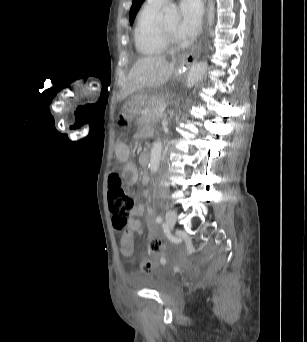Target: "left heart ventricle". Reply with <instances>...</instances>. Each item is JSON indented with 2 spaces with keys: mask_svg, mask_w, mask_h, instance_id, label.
<instances>
[{
  "mask_svg": "<svg viewBox=\"0 0 307 342\" xmlns=\"http://www.w3.org/2000/svg\"><path fill=\"white\" fill-rule=\"evenodd\" d=\"M161 27L163 30V34L165 38L167 39V41L169 42V44L175 48L180 47L181 44L178 42V40L175 37L176 24L165 23V24H161Z\"/></svg>",
  "mask_w": 307,
  "mask_h": 342,
  "instance_id": "left-heart-ventricle-1",
  "label": "left heart ventricle"
}]
</instances>
